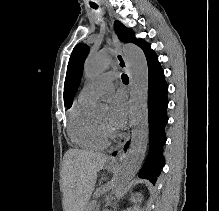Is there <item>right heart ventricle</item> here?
<instances>
[{
	"mask_svg": "<svg viewBox=\"0 0 219 211\" xmlns=\"http://www.w3.org/2000/svg\"><path fill=\"white\" fill-rule=\"evenodd\" d=\"M92 103L79 98L73 103L69 111L68 134L71 140L81 147L103 149L108 141L91 115Z\"/></svg>",
	"mask_w": 219,
	"mask_h": 211,
	"instance_id": "obj_1",
	"label": "right heart ventricle"
}]
</instances>
